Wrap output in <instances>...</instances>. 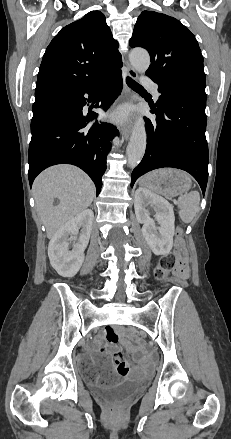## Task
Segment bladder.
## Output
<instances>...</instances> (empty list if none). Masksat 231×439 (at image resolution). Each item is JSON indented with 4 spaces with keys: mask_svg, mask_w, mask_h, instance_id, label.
I'll return each instance as SVG.
<instances>
[{
    "mask_svg": "<svg viewBox=\"0 0 231 439\" xmlns=\"http://www.w3.org/2000/svg\"><path fill=\"white\" fill-rule=\"evenodd\" d=\"M77 370L81 377L88 379L96 374L99 371V368L94 364L92 359L86 356H81L77 361ZM145 383L146 382L142 379H128L111 386H94L92 387V390L99 398L117 399L135 394L145 385Z\"/></svg>",
    "mask_w": 231,
    "mask_h": 439,
    "instance_id": "bladder-1",
    "label": "bladder"
}]
</instances>
